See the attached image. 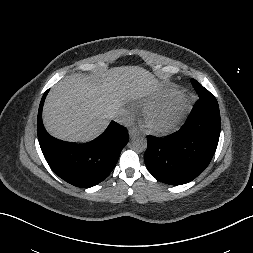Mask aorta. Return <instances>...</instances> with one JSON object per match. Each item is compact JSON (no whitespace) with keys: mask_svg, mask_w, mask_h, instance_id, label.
Instances as JSON below:
<instances>
[{"mask_svg":"<svg viewBox=\"0 0 253 253\" xmlns=\"http://www.w3.org/2000/svg\"><path fill=\"white\" fill-rule=\"evenodd\" d=\"M132 145L136 152H144L147 149V139L145 136L136 135L132 140Z\"/></svg>","mask_w":253,"mask_h":253,"instance_id":"1","label":"aorta"}]
</instances>
